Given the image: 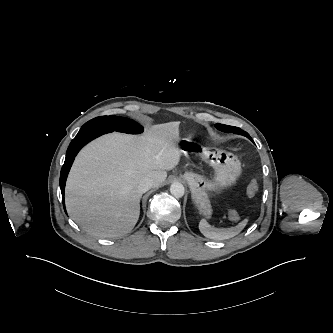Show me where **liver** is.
<instances>
[{"label":"liver","instance_id":"1","mask_svg":"<svg viewBox=\"0 0 333 333\" xmlns=\"http://www.w3.org/2000/svg\"><path fill=\"white\" fill-rule=\"evenodd\" d=\"M180 122L153 125L142 135L106 134L85 146L70 170L65 203L70 217L87 233L121 237L140 215L144 178L159 186L179 162Z\"/></svg>","mask_w":333,"mask_h":333}]
</instances>
